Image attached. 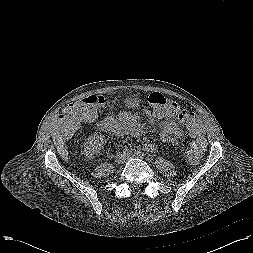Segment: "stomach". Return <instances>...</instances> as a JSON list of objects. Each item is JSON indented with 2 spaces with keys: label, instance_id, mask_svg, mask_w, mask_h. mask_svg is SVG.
<instances>
[{
  "label": "stomach",
  "instance_id": "0dacf381",
  "mask_svg": "<svg viewBox=\"0 0 253 253\" xmlns=\"http://www.w3.org/2000/svg\"><path fill=\"white\" fill-rule=\"evenodd\" d=\"M125 106L129 109H136L140 106V99L138 96H128L124 99Z\"/></svg>",
  "mask_w": 253,
  "mask_h": 253
}]
</instances>
